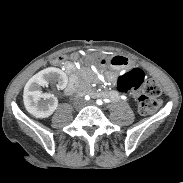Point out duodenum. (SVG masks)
I'll return each mask as SVG.
<instances>
[{
	"instance_id": "duodenum-1",
	"label": "duodenum",
	"mask_w": 183,
	"mask_h": 183,
	"mask_svg": "<svg viewBox=\"0 0 183 183\" xmlns=\"http://www.w3.org/2000/svg\"><path fill=\"white\" fill-rule=\"evenodd\" d=\"M76 86H77V79L74 77V76H72L71 78H70V81H69V84H68V86H67V88H66V91L68 92V93H74L75 92V90H76Z\"/></svg>"
}]
</instances>
